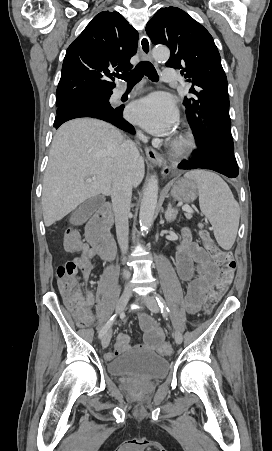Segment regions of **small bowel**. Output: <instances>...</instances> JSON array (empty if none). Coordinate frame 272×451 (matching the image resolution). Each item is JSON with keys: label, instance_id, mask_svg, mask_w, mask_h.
Masks as SVG:
<instances>
[{"label": "small bowel", "instance_id": "obj_1", "mask_svg": "<svg viewBox=\"0 0 272 451\" xmlns=\"http://www.w3.org/2000/svg\"><path fill=\"white\" fill-rule=\"evenodd\" d=\"M72 250V249H71ZM79 252L78 257L81 261H91L92 271L85 274L82 270L83 281L86 282L90 274L95 270L96 263L94 258L97 251L88 243L83 242L82 249H75ZM215 256L206 248L192 242L191 233L188 228L182 231V241L177 246L174 265L180 280L185 283V301L184 305L187 311L193 313L199 308V300L208 290V269L216 264ZM90 295H92L90 293ZM90 313V311H89ZM91 314V313H90ZM141 327L145 332V341L140 346L142 349H154L163 341V333L156 323L146 316L140 319ZM130 349L129 337L126 334L119 333L116 336L115 347L105 354L107 360H112L119 354Z\"/></svg>", "mask_w": 272, "mask_h": 451}]
</instances>
